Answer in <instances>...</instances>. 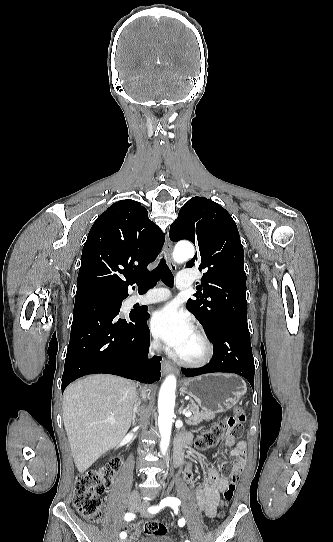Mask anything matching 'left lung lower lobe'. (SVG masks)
<instances>
[{"label": "left lung lower lobe", "instance_id": "1", "mask_svg": "<svg viewBox=\"0 0 333 542\" xmlns=\"http://www.w3.org/2000/svg\"><path fill=\"white\" fill-rule=\"evenodd\" d=\"M214 352L211 361L197 369H182L186 377L205 373L227 372L246 378L254 388L255 365L247 320L231 318L223 321L210 335Z\"/></svg>", "mask_w": 333, "mask_h": 542}]
</instances>
